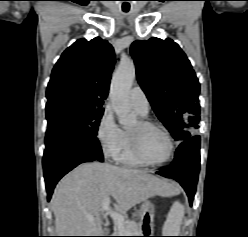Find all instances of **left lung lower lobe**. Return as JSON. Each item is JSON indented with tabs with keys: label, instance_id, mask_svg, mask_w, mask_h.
I'll use <instances>...</instances> for the list:
<instances>
[{
	"label": "left lung lower lobe",
	"instance_id": "1",
	"mask_svg": "<svg viewBox=\"0 0 248 237\" xmlns=\"http://www.w3.org/2000/svg\"><path fill=\"white\" fill-rule=\"evenodd\" d=\"M200 137L194 136L183 141L176 150L170 168L156 172L178 181L185 189L192 205L200 168Z\"/></svg>",
	"mask_w": 248,
	"mask_h": 237
}]
</instances>
